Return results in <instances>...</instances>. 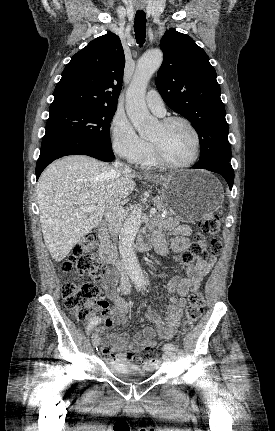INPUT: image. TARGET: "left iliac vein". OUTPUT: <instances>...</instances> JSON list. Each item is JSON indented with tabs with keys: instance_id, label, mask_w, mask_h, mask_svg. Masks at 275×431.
<instances>
[{
	"instance_id": "4c4485c4",
	"label": "left iliac vein",
	"mask_w": 275,
	"mask_h": 431,
	"mask_svg": "<svg viewBox=\"0 0 275 431\" xmlns=\"http://www.w3.org/2000/svg\"><path fill=\"white\" fill-rule=\"evenodd\" d=\"M162 358L164 362L172 363L175 360V353L171 351H164Z\"/></svg>"
}]
</instances>
